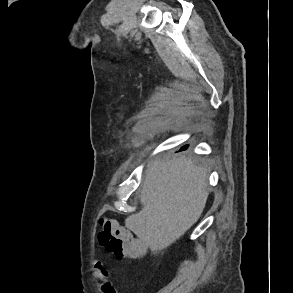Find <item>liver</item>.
Masks as SVG:
<instances>
[{"instance_id": "6515ba94", "label": "liver", "mask_w": 293, "mask_h": 293, "mask_svg": "<svg viewBox=\"0 0 293 293\" xmlns=\"http://www.w3.org/2000/svg\"><path fill=\"white\" fill-rule=\"evenodd\" d=\"M207 169L190 157L155 159L141 190V210L125 226L153 251L166 249L200 218L208 197Z\"/></svg>"}]
</instances>
